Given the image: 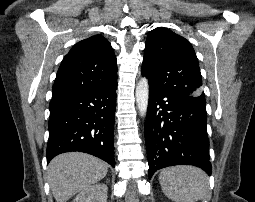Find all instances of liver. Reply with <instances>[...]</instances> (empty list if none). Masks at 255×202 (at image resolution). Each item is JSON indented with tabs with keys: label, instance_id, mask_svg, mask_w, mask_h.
Masks as SVG:
<instances>
[{
	"label": "liver",
	"instance_id": "1",
	"mask_svg": "<svg viewBox=\"0 0 255 202\" xmlns=\"http://www.w3.org/2000/svg\"><path fill=\"white\" fill-rule=\"evenodd\" d=\"M47 171L56 202H66L84 188L102 180L108 165L85 153L68 152L56 156Z\"/></svg>",
	"mask_w": 255,
	"mask_h": 202
}]
</instances>
